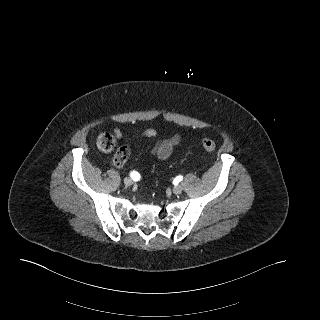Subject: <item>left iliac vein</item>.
Instances as JSON below:
<instances>
[{
  "label": "left iliac vein",
  "mask_w": 320,
  "mask_h": 320,
  "mask_svg": "<svg viewBox=\"0 0 320 320\" xmlns=\"http://www.w3.org/2000/svg\"><path fill=\"white\" fill-rule=\"evenodd\" d=\"M182 190H183V186L182 185H177V186H175L173 188L172 191H173L174 194H181Z\"/></svg>",
  "instance_id": "4c4485c4"
}]
</instances>
